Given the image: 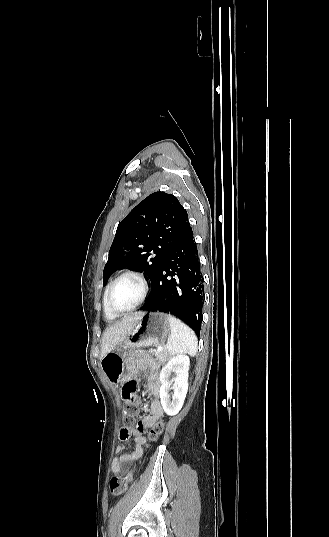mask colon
Here are the masks:
<instances>
[{"label": "colon", "mask_w": 329, "mask_h": 537, "mask_svg": "<svg viewBox=\"0 0 329 537\" xmlns=\"http://www.w3.org/2000/svg\"><path fill=\"white\" fill-rule=\"evenodd\" d=\"M123 390V389H122ZM124 400V399H123ZM125 405L123 407L122 411V417H123V423L124 428L126 429H132V427H136V429L141 430L142 423L138 422L136 423V419L140 413V406L137 400V396L133 395L131 399L124 400ZM163 429V425L161 422L156 423L152 428H150L147 432V440L149 442L154 441L158 435L161 433ZM133 477V473H129L125 476H115L110 481V491L112 495L119 496L122 493H124L130 484Z\"/></svg>", "instance_id": "colon-1"}]
</instances>
